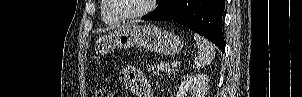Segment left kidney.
<instances>
[{
    "instance_id": "left-kidney-1",
    "label": "left kidney",
    "mask_w": 302,
    "mask_h": 97,
    "mask_svg": "<svg viewBox=\"0 0 302 97\" xmlns=\"http://www.w3.org/2000/svg\"><path fill=\"white\" fill-rule=\"evenodd\" d=\"M209 79L206 75H188L179 86L177 97H205Z\"/></svg>"
}]
</instances>
